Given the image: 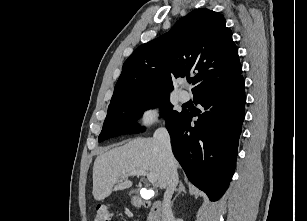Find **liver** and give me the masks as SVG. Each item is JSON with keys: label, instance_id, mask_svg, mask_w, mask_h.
<instances>
[{"label": "liver", "instance_id": "1", "mask_svg": "<svg viewBox=\"0 0 307 221\" xmlns=\"http://www.w3.org/2000/svg\"><path fill=\"white\" fill-rule=\"evenodd\" d=\"M134 170L154 173L160 189L167 188L168 159L157 140L136 138L99 154L93 166L94 199L101 201L113 191L130 188L132 181L123 176Z\"/></svg>", "mask_w": 307, "mask_h": 221}]
</instances>
